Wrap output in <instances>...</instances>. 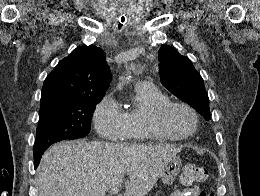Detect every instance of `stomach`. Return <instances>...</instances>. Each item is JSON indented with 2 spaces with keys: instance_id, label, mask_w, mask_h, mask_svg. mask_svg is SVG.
I'll use <instances>...</instances> for the list:
<instances>
[{
  "instance_id": "stomach-1",
  "label": "stomach",
  "mask_w": 260,
  "mask_h": 196,
  "mask_svg": "<svg viewBox=\"0 0 260 196\" xmlns=\"http://www.w3.org/2000/svg\"><path fill=\"white\" fill-rule=\"evenodd\" d=\"M182 162L178 156H173L169 162H167L165 168H163L160 178L163 184L166 186H172L181 170Z\"/></svg>"
}]
</instances>
